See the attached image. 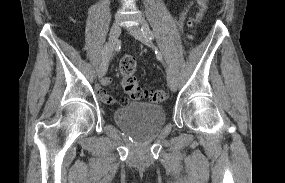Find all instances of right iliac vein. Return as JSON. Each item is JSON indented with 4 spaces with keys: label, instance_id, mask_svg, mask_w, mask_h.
<instances>
[{
    "label": "right iliac vein",
    "instance_id": "right-iliac-vein-1",
    "mask_svg": "<svg viewBox=\"0 0 285 183\" xmlns=\"http://www.w3.org/2000/svg\"><path fill=\"white\" fill-rule=\"evenodd\" d=\"M120 33H121L120 23L115 22L110 29V37H109L110 45H109L108 54L104 58V60L102 61V63L100 64V66L98 68V76L100 78L103 77L108 70L109 62H110V59L113 55V52H114V49L116 46V42L120 36Z\"/></svg>",
    "mask_w": 285,
    "mask_h": 183
}]
</instances>
